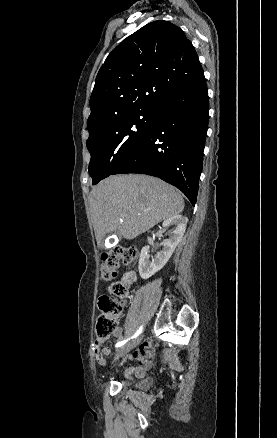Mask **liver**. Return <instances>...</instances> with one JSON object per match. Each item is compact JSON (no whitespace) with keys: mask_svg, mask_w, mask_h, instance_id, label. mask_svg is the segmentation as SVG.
<instances>
[{"mask_svg":"<svg viewBox=\"0 0 277 438\" xmlns=\"http://www.w3.org/2000/svg\"><path fill=\"white\" fill-rule=\"evenodd\" d=\"M89 202L98 246H102L106 234L116 230L126 240H134L184 210V200L176 188L143 174L106 178L91 190Z\"/></svg>","mask_w":277,"mask_h":438,"instance_id":"obj_1","label":"liver"}]
</instances>
